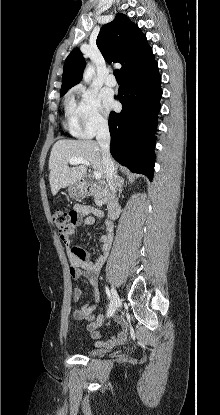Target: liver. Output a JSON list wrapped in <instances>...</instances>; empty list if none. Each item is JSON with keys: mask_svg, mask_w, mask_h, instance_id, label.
I'll list each match as a JSON object with an SVG mask.
<instances>
[{"mask_svg": "<svg viewBox=\"0 0 220 415\" xmlns=\"http://www.w3.org/2000/svg\"><path fill=\"white\" fill-rule=\"evenodd\" d=\"M74 157L86 159L95 171L99 172L103 178L106 177L98 142L59 140L53 145L49 158V182L53 195H56L61 188L79 183L86 174L87 167L83 164L68 166L69 159Z\"/></svg>", "mask_w": 220, "mask_h": 415, "instance_id": "obj_1", "label": "liver"}]
</instances>
